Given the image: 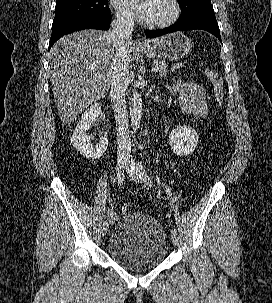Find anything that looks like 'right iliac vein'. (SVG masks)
<instances>
[{"label": "right iliac vein", "instance_id": "right-iliac-vein-1", "mask_svg": "<svg viewBox=\"0 0 272 303\" xmlns=\"http://www.w3.org/2000/svg\"><path fill=\"white\" fill-rule=\"evenodd\" d=\"M126 164H127V160L123 156H120L117 160V165H116L117 172L118 173L123 172V169L126 167ZM108 228H109L108 224L103 225V228H102L103 235H105L107 233Z\"/></svg>", "mask_w": 272, "mask_h": 303}]
</instances>
